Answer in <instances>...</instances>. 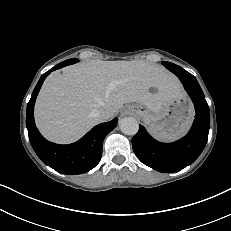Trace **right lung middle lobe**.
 Instances as JSON below:
<instances>
[{"label": "right lung middle lobe", "instance_id": "1", "mask_svg": "<svg viewBox=\"0 0 231 231\" xmlns=\"http://www.w3.org/2000/svg\"><path fill=\"white\" fill-rule=\"evenodd\" d=\"M65 62H71V64L78 62V60L76 58H72L69 60H66Z\"/></svg>", "mask_w": 231, "mask_h": 231}]
</instances>
